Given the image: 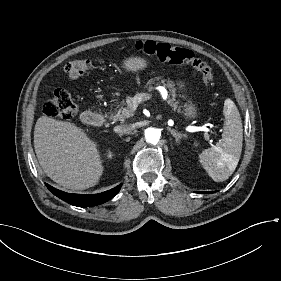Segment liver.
I'll return each instance as SVG.
<instances>
[{
	"label": "liver",
	"mask_w": 281,
	"mask_h": 281,
	"mask_svg": "<svg viewBox=\"0 0 281 281\" xmlns=\"http://www.w3.org/2000/svg\"><path fill=\"white\" fill-rule=\"evenodd\" d=\"M34 149L44 173L67 189L93 187L103 173L96 143L73 123L40 117L34 129Z\"/></svg>",
	"instance_id": "obj_1"
}]
</instances>
